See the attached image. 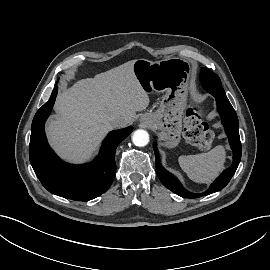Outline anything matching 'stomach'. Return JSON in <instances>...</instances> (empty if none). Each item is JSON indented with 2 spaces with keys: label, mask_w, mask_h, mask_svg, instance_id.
<instances>
[{
  "label": "stomach",
  "mask_w": 270,
  "mask_h": 270,
  "mask_svg": "<svg viewBox=\"0 0 270 270\" xmlns=\"http://www.w3.org/2000/svg\"><path fill=\"white\" fill-rule=\"evenodd\" d=\"M133 72L142 88L149 92L161 93L159 107L142 116L144 122L159 130V137L168 148L180 142L182 119L187 106L189 80L192 68L186 59L166 58L157 62L137 59Z\"/></svg>",
  "instance_id": "stomach-1"
}]
</instances>
